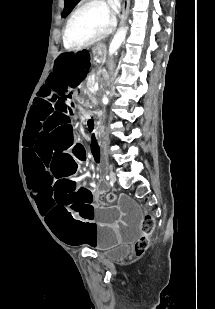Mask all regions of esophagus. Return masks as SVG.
<instances>
[{
	"mask_svg": "<svg viewBox=\"0 0 215 309\" xmlns=\"http://www.w3.org/2000/svg\"><path fill=\"white\" fill-rule=\"evenodd\" d=\"M129 6L130 0H123L121 23H124L127 18Z\"/></svg>",
	"mask_w": 215,
	"mask_h": 309,
	"instance_id": "1",
	"label": "esophagus"
}]
</instances>
